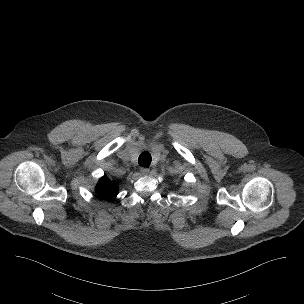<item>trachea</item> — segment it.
<instances>
[{"mask_svg":"<svg viewBox=\"0 0 304 304\" xmlns=\"http://www.w3.org/2000/svg\"><path fill=\"white\" fill-rule=\"evenodd\" d=\"M152 157L149 152H142L139 156V165L149 167L151 164Z\"/></svg>","mask_w":304,"mask_h":304,"instance_id":"trachea-1","label":"trachea"}]
</instances>
